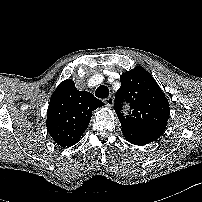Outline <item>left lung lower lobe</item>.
<instances>
[{
	"mask_svg": "<svg viewBox=\"0 0 202 202\" xmlns=\"http://www.w3.org/2000/svg\"><path fill=\"white\" fill-rule=\"evenodd\" d=\"M123 135L125 136L126 140L132 144H135V145H139V146H143V145H146L150 142H153V141H150V140H145V139H141V138H137V137H134V136H130V135H127L125 133H123Z\"/></svg>",
	"mask_w": 202,
	"mask_h": 202,
	"instance_id": "1",
	"label": "left lung lower lobe"
}]
</instances>
